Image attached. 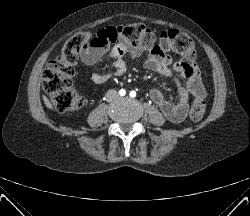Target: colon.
Here are the masks:
<instances>
[{"label":"colon","mask_w":250,"mask_h":216,"mask_svg":"<svg viewBox=\"0 0 250 216\" xmlns=\"http://www.w3.org/2000/svg\"><path fill=\"white\" fill-rule=\"evenodd\" d=\"M116 41H122L131 47L151 50L156 43L165 46L191 62L196 56L195 45L185 33L176 30L156 32L143 24L109 26L94 36L80 33L71 37L60 53L51 60L43 74V88L49 95L53 106L63 113L74 112L86 104L72 86L74 67L78 63L79 53L88 47L106 48ZM206 110L204 98H194L190 108V118L200 120Z\"/></svg>","instance_id":"1"}]
</instances>
